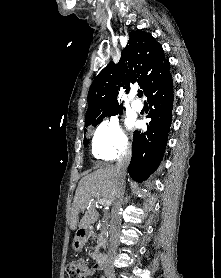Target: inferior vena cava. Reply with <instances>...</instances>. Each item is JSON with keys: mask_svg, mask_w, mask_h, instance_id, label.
I'll return each instance as SVG.
<instances>
[{"mask_svg": "<svg viewBox=\"0 0 221 278\" xmlns=\"http://www.w3.org/2000/svg\"><path fill=\"white\" fill-rule=\"evenodd\" d=\"M131 159V151L126 150L121 155L116 163V168L118 171L119 183L115 190V199L112 203V213L110 221V239H109V249L107 253V261L104 264L105 271H112V258L115 255L118 243V234L121 227V215L120 210L123 203V196L125 191V175L126 169L129 165Z\"/></svg>", "mask_w": 221, "mask_h": 278, "instance_id": "602c4592", "label": "inferior vena cava"}]
</instances>
